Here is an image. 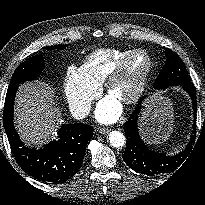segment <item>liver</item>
Wrapping results in <instances>:
<instances>
[{
  "label": "liver",
  "instance_id": "obj_1",
  "mask_svg": "<svg viewBox=\"0 0 205 205\" xmlns=\"http://www.w3.org/2000/svg\"><path fill=\"white\" fill-rule=\"evenodd\" d=\"M53 99V90L44 83L29 82L19 87L15 124L26 144L41 147L53 138L58 118Z\"/></svg>",
  "mask_w": 205,
  "mask_h": 205
}]
</instances>
